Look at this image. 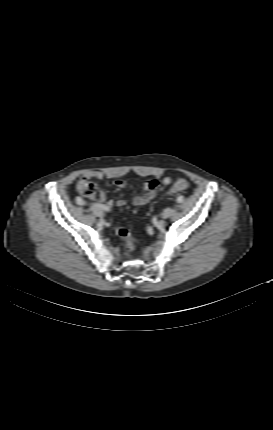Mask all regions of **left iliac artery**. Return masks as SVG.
Here are the masks:
<instances>
[{"label":"left iliac artery","mask_w":273,"mask_h":430,"mask_svg":"<svg viewBox=\"0 0 273 430\" xmlns=\"http://www.w3.org/2000/svg\"><path fill=\"white\" fill-rule=\"evenodd\" d=\"M184 201V197H179L178 199H177V202L178 203H182Z\"/></svg>","instance_id":"obj_1"}]
</instances>
